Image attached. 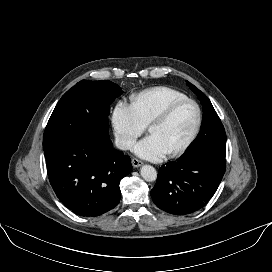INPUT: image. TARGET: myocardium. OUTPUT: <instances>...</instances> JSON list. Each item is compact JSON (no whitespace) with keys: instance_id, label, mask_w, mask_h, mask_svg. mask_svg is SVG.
I'll return each mask as SVG.
<instances>
[{"instance_id":"1","label":"myocardium","mask_w":272,"mask_h":272,"mask_svg":"<svg viewBox=\"0 0 272 272\" xmlns=\"http://www.w3.org/2000/svg\"><path fill=\"white\" fill-rule=\"evenodd\" d=\"M185 104H191L194 106L196 110V123L189 138L177 149L166 153L168 157H176L183 154L190 148V146L194 143V141L198 137L202 126V110L199 104L195 100L189 98L174 101L171 104H169L166 108H164L160 113H158L148 124V130H150L152 126L165 122L179 107Z\"/></svg>"}]
</instances>
